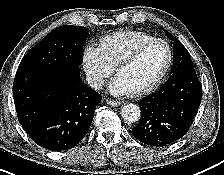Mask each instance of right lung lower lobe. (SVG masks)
Masks as SVG:
<instances>
[{
  "label": "right lung lower lobe",
  "mask_w": 224,
  "mask_h": 175,
  "mask_svg": "<svg viewBox=\"0 0 224 175\" xmlns=\"http://www.w3.org/2000/svg\"><path fill=\"white\" fill-rule=\"evenodd\" d=\"M13 97L22 127L52 151L71 149L85 137L102 99L82 82L79 67L17 70Z\"/></svg>",
  "instance_id": "1"
}]
</instances>
